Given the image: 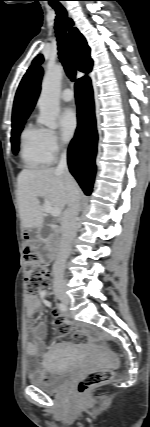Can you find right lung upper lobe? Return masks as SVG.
Masks as SVG:
<instances>
[{
  "label": "right lung upper lobe",
  "instance_id": "right-lung-upper-lobe-1",
  "mask_svg": "<svg viewBox=\"0 0 150 427\" xmlns=\"http://www.w3.org/2000/svg\"><path fill=\"white\" fill-rule=\"evenodd\" d=\"M68 36L69 47L78 69L81 72H90L92 68V59L90 58V48L85 38L77 28H72ZM42 74V68L31 66L24 75L15 96L12 123L28 118L40 93ZM83 78L87 77L85 76L80 79Z\"/></svg>",
  "mask_w": 150,
  "mask_h": 427
}]
</instances>
